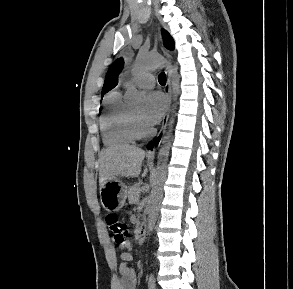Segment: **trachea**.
I'll use <instances>...</instances> for the list:
<instances>
[{
	"label": "trachea",
	"mask_w": 293,
	"mask_h": 289,
	"mask_svg": "<svg viewBox=\"0 0 293 289\" xmlns=\"http://www.w3.org/2000/svg\"><path fill=\"white\" fill-rule=\"evenodd\" d=\"M158 81L161 85H165L166 84V75L165 73H160L158 76Z\"/></svg>",
	"instance_id": "3493384b"
}]
</instances>
